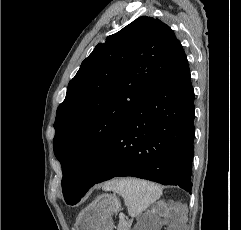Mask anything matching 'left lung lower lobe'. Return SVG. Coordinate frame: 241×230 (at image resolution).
Returning a JSON list of instances; mask_svg holds the SVG:
<instances>
[{
	"mask_svg": "<svg viewBox=\"0 0 241 230\" xmlns=\"http://www.w3.org/2000/svg\"><path fill=\"white\" fill-rule=\"evenodd\" d=\"M194 114V90L185 55L117 135L82 163L81 180L86 185L79 200L95 184L119 176L178 185L191 192Z\"/></svg>",
	"mask_w": 241,
	"mask_h": 230,
	"instance_id": "left-lung-lower-lobe-1",
	"label": "left lung lower lobe"
}]
</instances>
